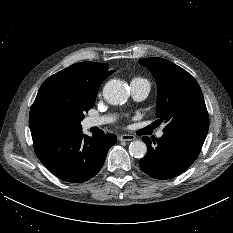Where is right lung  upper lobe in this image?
<instances>
[{"label":"right lung upper lobe","instance_id":"right-lung-upper-lobe-1","mask_svg":"<svg viewBox=\"0 0 233 233\" xmlns=\"http://www.w3.org/2000/svg\"><path fill=\"white\" fill-rule=\"evenodd\" d=\"M112 73L104 63L81 62L45 80L30 110L29 126L32 136L60 129L47 108L49 91L54 85L66 84L97 95L101 83Z\"/></svg>","mask_w":233,"mask_h":233}]
</instances>
